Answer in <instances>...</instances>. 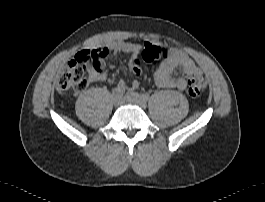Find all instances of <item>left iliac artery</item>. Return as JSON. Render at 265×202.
I'll return each mask as SVG.
<instances>
[{"instance_id": "1", "label": "left iliac artery", "mask_w": 265, "mask_h": 202, "mask_svg": "<svg viewBox=\"0 0 265 202\" xmlns=\"http://www.w3.org/2000/svg\"><path fill=\"white\" fill-rule=\"evenodd\" d=\"M141 97L143 98V100L147 101L150 98V95L148 93H144L141 95Z\"/></svg>"}]
</instances>
